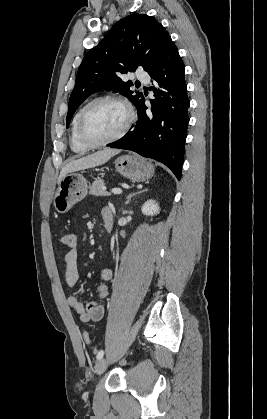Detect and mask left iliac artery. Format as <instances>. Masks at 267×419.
I'll list each match as a JSON object with an SVG mask.
<instances>
[{"instance_id":"44dca946","label":"left iliac artery","mask_w":267,"mask_h":419,"mask_svg":"<svg viewBox=\"0 0 267 419\" xmlns=\"http://www.w3.org/2000/svg\"><path fill=\"white\" fill-rule=\"evenodd\" d=\"M103 355H104V351L100 350L97 354V360H100L103 357Z\"/></svg>"}]
</instances>
